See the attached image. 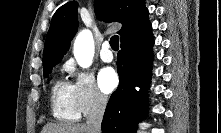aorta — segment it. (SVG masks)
I'll use <instances>...</instances> for the list:
<instances>
[{
  "label": "aorta",
  "instance_id": "aorta-1",
  "mask_svg": "<svg viewBox=\"0 0 221 133\" xmlns=\"http://www.w3.org/2000/svg\"><path fill=\"white\" fill-rule=\"evenodd\" d=\"M73 53L79 66L82 68L91 66L94 57V40L89 30L85 29L77 35Z\"/></svg>",
  "mask_w": 221,
  "mask_h": 133
}]
</instances>
